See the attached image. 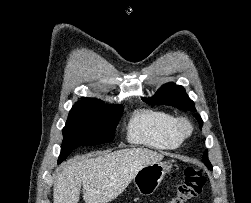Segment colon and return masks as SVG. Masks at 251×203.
Instances as JSON below:
<instances>
[{
  "mask_svg": "<svg viewBox=\"0 0 251 203\" xmlns=\"http://www.w3.org/2000/svg\"><path fill=\"white\" fill-rule=\"evenodd\" d=\"M205 184L202 170L188 167L185 176L176 189L175 194L165 203H188L199 196Z\"/></svg>",
  "mask_w": 251,
  "mask_h": 203,
  "instance_id": "obj_1",
  "label": "colon"
}]
</instances>
